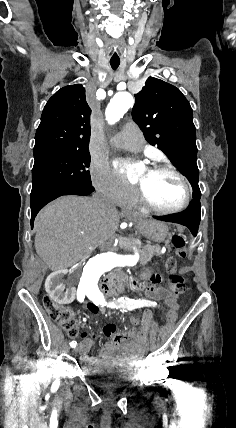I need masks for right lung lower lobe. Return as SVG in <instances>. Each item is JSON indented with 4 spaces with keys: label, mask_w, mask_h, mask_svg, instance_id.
I'll use <instances>...</instances> for the list:
<instances>
[{
    "label": "right lung lower lobe",
    "mask_w": 236,
    "mask_h": 428,
    "mask_svg": "<svg viewBox=\"0 0 236 428\" xmlns=\"http://www.w3.org/2000/svg\"><path fill=\"white\" fill-rule=\"evenodd\" d=\"M94 191V187L67 186L46 190L31 196V227L33 228L34 219L37 213L47 203L62 195H89Z\"/></svg>",
    "instance_id": "obj_1"
}]
</instances>
